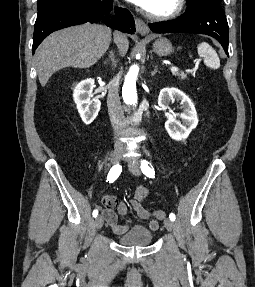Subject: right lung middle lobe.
<instances>
[{"label":"right lung middle lobe","mask_w":255,"mask_h":287,"mask_svg":"<svg viewBox=\"0 0 255 287\" xmlns=\"http://www.w3.org/2000/svg\"><path fill=\"white\" fill-rule=\"evenodd\" d=\"M113 5V0H39L37 17L53 10L87 7L97 12H104Z\"/></svg>","instance_id":"dd1d6c3e"}]
</instances>
